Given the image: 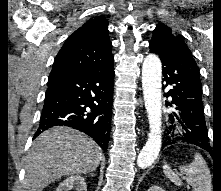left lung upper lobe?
I'll return each instance as SVG.
<instances>
[{
  "label": "left lung upper lobe",
  "instance_id": "left-lung-upper-lobe-1",
  "mask_svg": "<svg viewBox=\"0 0 221 191\" xmlns=\"http://www.w3.org/2000/svg\"><path fill=\"white\" fill-rule=\"evenodd\" d=\"M182 40L180 36L175 35L172 29L164 24H159L154 30V34L150 44H157L162 47L173 46L177 41ZM209 143V138L207 137L206 142L202 144ZM210 146V144H209Z\"/></svg>",
  "mask_w": 221,
  "mask_h": 191
}]
</instances>
